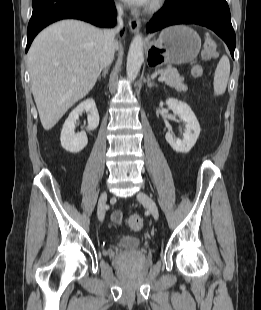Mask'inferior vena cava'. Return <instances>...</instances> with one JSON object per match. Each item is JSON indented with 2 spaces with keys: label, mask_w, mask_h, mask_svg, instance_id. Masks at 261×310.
<instances>
[{
  "label": "inferior vena cava",
  "mask_w": 261,
  "mask_h": 310,
  "mask_svg": "<svg viewBox=\"0 0 261 310\" xmlns=\"http://www.w3.org/2000/svg\"><path fill=\"white\" fill-rule=\"evenodd\" d=\"M118 17H117V27L113 29H106L104 31V40L102 45V50L100 54V68H108L113 59L115 53V35L123 27V9L121 6H117Z\"/></svg>",
  "instance_id": "1"
}]
</instances>
